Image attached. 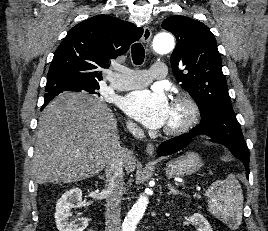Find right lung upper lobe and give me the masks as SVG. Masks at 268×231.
Here are the masks:
<instances>
[{
    "label": "right lung upper lobe",
    "instance_id": "obj_1",
    "mask_svg": "<svg viewBox=\"0 0 268 231\" xmlns=\"http://www.w3.org/2000/svg\"><path fill=\"white\" fill-rule=\"evenodd\" d=\"M142 34L141 27L108 15L77 24L54 53L46 87L60 83L99 86L102 70L109 67L110 60L126 53ZM51 100L45 97L44 104Z\"/></svg>",
    "mask_w": 268,
    "mask_h": 231
}]
</instances>
